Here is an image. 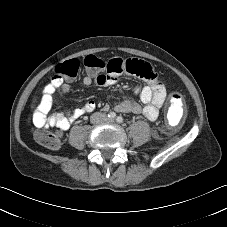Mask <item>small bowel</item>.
<instances>
[{
	"label": "small bowel",
	"instance_id": "small-bowel-1",
	"mask_svg": "<svg viewBox=\"0 0 227 227\" xmlns=\"http://www.w3.org/2000/svg\"><path fill=\"white\" fill-rule=\"evenodd\" d=\"M118 69L125 68V62L121 59H116ZM139 61V60H138ZM144 62V61H142ZM146 63V62H145ZM117 73L108 70V73H98L93 76H86L83 79V84L86 86H111L117 80ZM147 84L139 89L140 101L143 105L133 101L125 100L118 103L115 108L121 112L141 113L149 120H156L159 115V109L164 104L166 99V88L164 83L159 79L157 73L153 70V77L144 78ZM70 90L68 84L64 83L61 86V93L67 94ZM54 91L46 89L41 104L33 115L32 122L37 128L57 127L60 130H66L71 123L83 114L92 112L96 108L94 100L87 101L81 108L67 109L64 111L50 112L53 104ZM108 109V107H106Z\"/></svg>",
	"mask_w": 227,
	"mask_h": 227
}]
</instances>
